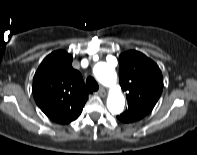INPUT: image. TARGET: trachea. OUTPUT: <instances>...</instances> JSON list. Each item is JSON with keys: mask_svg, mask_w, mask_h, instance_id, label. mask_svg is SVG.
Masks as SVG:
<instances>
[{"mask_svg": "<svg viewBox=\"0 0 197 155\" xmlns=\"http://www.w3.org/2000/svg\"><path fill=\"white\" fill-rule=\"evenodd\" d=\"M86 84L87 86L89 87V89L93 90V91H97L98 88H99V85L98 83L96 82V80L89 76L87 79H86Z\"/></svg>", "mask_w": 197, "mask_h": 155, "instance_id": "1", "label": "trachea"}]
</instances>
